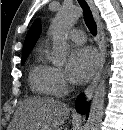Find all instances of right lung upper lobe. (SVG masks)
Here are the masks:
<instances>
[{"label": "right lung upper lobe", "mask_w": 123, "mask_h": 130, "mask_svg": "<svg viewBox=\"0 0 123 130\" xmlns=\"http://www.w3.org/2000/svg\"><path fill=\"white\" fill-rule=\"evenodd\" d=\"M41 33V24L39 19L35 20V22L30 27L27 36L25 38L22 56L29 55L33 46L35 45L39 35Z\"/></svg>", "instance_id": "1"}]
</instances>
